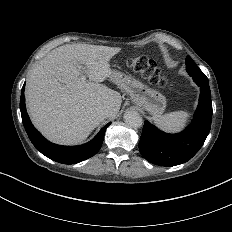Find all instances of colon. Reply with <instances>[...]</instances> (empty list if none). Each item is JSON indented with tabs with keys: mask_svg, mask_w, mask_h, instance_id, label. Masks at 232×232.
<instances>
[{
	"mask_svg": "<svg viewBox=\"0 0 232 232\" xmlns=\"http://www.w3.org/2000/svg\"><path fill=\"white\" fill-rule=\"evenodd\" d=\"M137 61L131 62V70H135L136 73H145L144 79H150L151 86H167V81H161L163 79L162 68H157V65H148L146 56H137Z\"/></svg>",
	"mask_w": 232,
	"mask_h": 232,
	"instance_id": "obj_1",
	"label": "colon"
}]
</instances>
